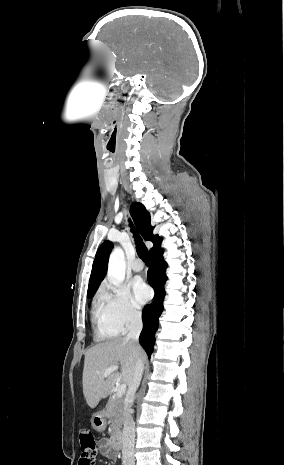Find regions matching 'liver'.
<instances>
[{
	"instance_id": "liver-1",
	"label": "liver",
	"mask_w": 284,
	"mask_h": 465,
	"mask_svg": "<svg viewBox=\"0 0 284 465\" xmlns=\"http://www.w3.org/2000/svg\"><path fill=\"white\" fill-rule=\"evenodd\" d=\"M144 361L145 353L136 341L123 339H108L90 347L85 353L82 385L88 407L94 409L101 399L111 395V391L118 379L130 385L133 379L136 363ZM108 367H120L121 373H111L109 377H102Z\"/></svg>"
}]
</instances>
